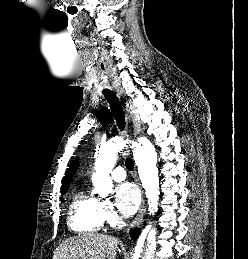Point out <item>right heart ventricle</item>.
<instances>
[{"mask_svg":"<svg viewBox=\"0 0 248 259\" xmlns=\"http://www.w3.org/2000/svg\"><path fill=\"white\" fill-rule=\"evenodd\" d=\"M103 222L101 201L83 189L78 190L69 207L70 229L79 233H94L100 230Z\"/></svg>","mask_w":248,"mask_h":259,"instance_id":"right-heart-ventricle-1","label":"right heart ventricle"}]
</instances>
